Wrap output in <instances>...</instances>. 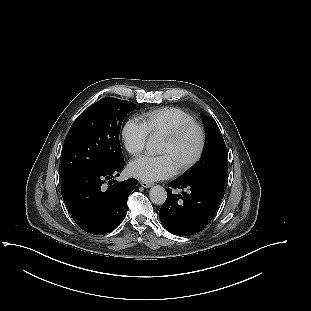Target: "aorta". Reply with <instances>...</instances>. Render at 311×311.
I'll use <instances>...</instances> for the list:
<instances>
[{
	"instance_id": "762f6f07",
	"label": "aorta",
	"mask_w": 311,
	"mask_h": 311,
	"mask_svg": "<svg viewBox=\"0 0 311 311\" xmlns=\"http://www.w3.org/2000/svg\"><path fill=\"white\" fill-rule=\"evenodd\" d=\"M146 149L151 154H157L159 152V141L154 137H150L147 140ZM149 197L154 204L162 205L166 201L167 192L162 186L155 185L151 187Z\"/></svg>"
}]
</instances>
